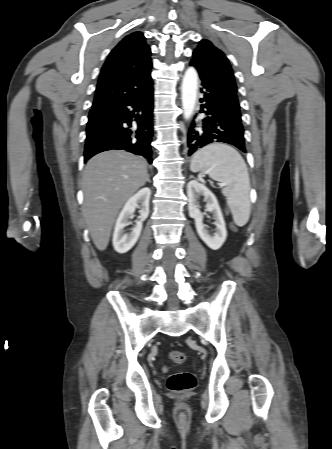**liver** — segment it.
<instances>
[{
	"label": "liver",
	"mask_w": 332,
	"mask_h": 449,
	"mask_svg": "<svg viewBox=\"0 0 332 449\" xmlns=\"http://www.w3.org/2000/svg\"><path fill=\"white\" fill-rule=\"evenodd\" d=\"M147 177L146 161L125 151L102 152L87 162L82 180V212L98 250L107 248L120 209Z\"/></svg>",
	"instance_id": "obj_1"
}]
</instances>
